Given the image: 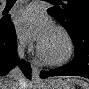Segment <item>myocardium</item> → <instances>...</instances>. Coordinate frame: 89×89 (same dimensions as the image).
<instances>
[{"label": "myocardium", "instance_id": "1", "mask_svg": "<svg viewBox=\"0 0 89 89\" xmlns=\"http://www.w3.org/2000/svg\"><path fill=\"white\" fill-rule=\"evenodd\" d=\"M53 29L56 32H58L59 34H61L63 36V38L65 39V42H66L65 54L58 59L50 58L44 52V49L41 44H38L37 51H38L40 59L42 60V62L44 64H46L48 66H62L64 64L68 63L70 61V59L72 58L73 53H74V43H73V40H72L70 34L64 27L55 26Z\"/></svg>", "mask_w": 89, "mask_h": 89}]
</instances>
